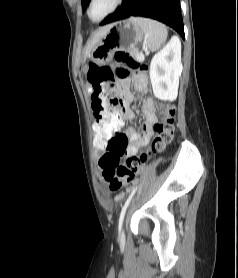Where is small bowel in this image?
I'll return each instance as SVG.
<instances>
[{"label": "small bowel", "mask_w": 238, "mask_h": 278, "mask_svg": "<svg viewBox=\"0 0 238 278\" xmlns=\"http://www.w3.org/2000/svg\"><path fill=\"white\" fill-rule=\"evenodd\" d=\"M121 68V64L113 65L114 72H117L118 69ZM115 81L116 89L121 90V96L123 101L121 124L122 126L123 120H131L135 117L134 112L130 108V104L134 100V96L129 91L130 80L128 78L123 79L122 76H115ZM135 89L138 92L145 94L147 92L146 81L140 78H136ZM142 112L145 116V121L142 124V128L140 131H136L134 128L129 127L123 133L107 136L105 141H108V144H128L129 148L125 149L126 153L124 155H136L142 148H144L149 143L150 137L152 135V126L157 119L155 111V102L152 98L144 99L142 104Z\"/></svg>", "instance_id": "1"}]
</instances>
